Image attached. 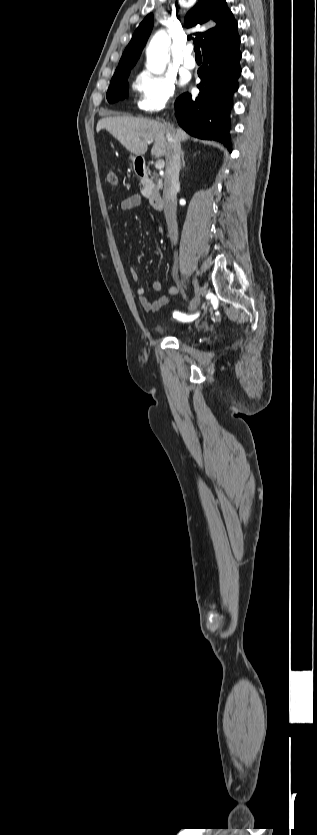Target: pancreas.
<instances>
[{
    "label": "pancreas",
    "instance_id": "obj_1",
    "mask_svg": "<svg viewBox=\"0 0 317 835\" xmlns=\"http://www.w3.org/2000/svg\"><path fill=\"white\" fill-rule=\"evenodd\" d=\"M142 189L141 194L149 199V202L152 203L154 199L158 197L159 189L161 188L162 182L160 179H156L155 183H153L150 179L142 180Z\"/></svg>",
    "mask_w": 317,
    "mask_h": 835
}]
</instances>
